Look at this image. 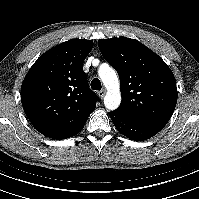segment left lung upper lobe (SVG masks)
<instances>
[{
  "mask_svg": "<svg viewBox=\"0 0 199 199\" xmlns=\"http://www.w3.org/2000/svg\"><path fill=\"white\" fill-rule=\"evenodd\" d=\"M98 46L119 74L122 102L116 111L160 131L171 118L178 97L170 68L135 39H101Z\"/></svg>",
  "mask_w": 199,
  "mask_h": 199,
  "instance_id": "left-lung-upper-lobe-1",
  "label": "left lung upper lobe"
}]
</instances>
